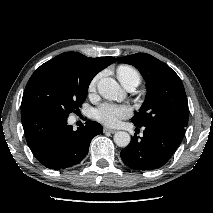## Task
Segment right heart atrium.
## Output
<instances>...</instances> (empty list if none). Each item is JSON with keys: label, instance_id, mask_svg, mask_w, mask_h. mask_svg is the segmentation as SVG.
Here are the masks:
<instances>
[{"label": "right heart atrium", "instance_id": "1", "mask_svg": "<svg viewBox=\"0 0 213 213\" xmlns=\"http://www.w3.org/2000/svg\"><path fill=\"white\" fill-rule=\"evenodd\" d=\"M98 76L94 77L89 84V91H94L97 84Z\"/></svg>", "mask_w": 213, "mask_h": 213}]
</instances>
